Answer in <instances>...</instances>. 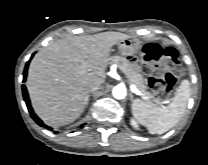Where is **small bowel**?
<instances>
[{
	"label": "small bowel",
	"mask_w": 208,
	"mask_h": 165,
	"mask_svg": "<svg viewBox=\"0 0 208 165\" xmlns=\"http://www.w3.org/2000/svg\"><path fill=\"white\" fill-rule=\"evenodd\" d=\"M124 60L134 70H139L142 67L141 59L137 58L132 52L125 53Z\"/></svg>",
	"instance_id": "1"
}]
</instances>
